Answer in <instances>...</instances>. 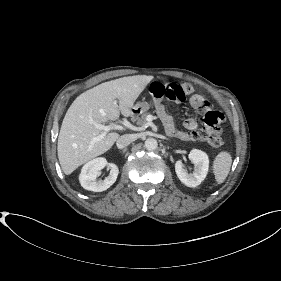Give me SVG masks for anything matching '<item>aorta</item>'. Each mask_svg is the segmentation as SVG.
<instances>
[{
	"label": "aorta",
	"mask_w": 281,
	"mask_h": 281,
	"mask_svg": "<svg viewBox=\"0 0 281 281\" xmlns=\"http://www.w3.org/2000/svg\"><path fill=\"white\" fill-rule=\"evenodd\" d=\"M158 146L157 140L154 138H148L145 141V147L148 150H155Z\"/></svg>",
	"instance_id": "1"
}]
</instances>
